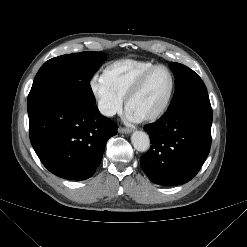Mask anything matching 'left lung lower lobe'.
I'll list each match as a JSON object with an SVG mask.
<instances>
[{
    "label": "left lung lower lobe",
    "instance_id": "obj_1",
    "mask_svg": "<svg viewBox=\"0 0 247 247\" xmlns=\"http://www.w3.org/2000/svg\"><path fill=\"white\" fill-rule=\"evenodd\" d=\"M212 118L210 101L201 100L167 110L144 126L152 145L140 163L152 182L176 186L198 173L210 151Z\"/></svg>",
    "mask_w": 247,
    "mask_h": 247
}]
</instances>
